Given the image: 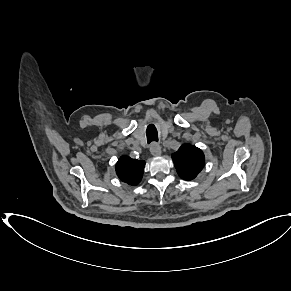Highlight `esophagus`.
I'll return each mask as SVG.
<instances>
[{"label": "esophagus", "instance_id": "34e87169", "mask_svg": "<svg viewBox=\"0 0 291 291\" xmlns=\"http://www.w3.org/2000/svg\"><path fill=\"white\" fill-rule=\"evenodd\" d=\"M150 152L153 156H160L162 153L160 145L157 143H152L150 146Z\"/></svg>", "mask_w": 291, "mask_h": 291}]
</instances>
